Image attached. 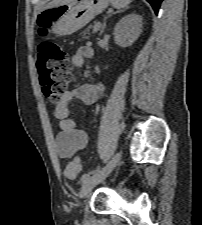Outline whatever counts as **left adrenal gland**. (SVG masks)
<instances>
[{"mask_svg": "<svg viewBox=\"0 0 202 225\" xmlns=\"http://www.w3.org/2000/svg\"><path fill=\"white\" fill-rule=\"evenodd\" d=\"M115 13H117V12H113V13H111L110 15H108L107 17H105L104 22H103V25H102L101 30H100V33H99V36H101L102 33L104 32V29H105V27H106V20H107L110 16H112L113 14H115Z\"/></svg>", "mask_w": 202, "mask_h": 225, "instance_id": "1", "label": "left adrenal gland"}]
</instances>
